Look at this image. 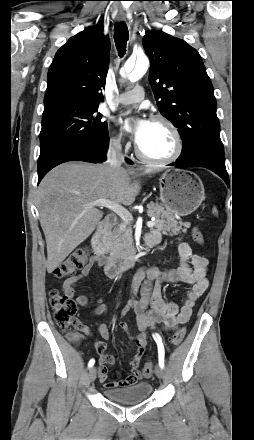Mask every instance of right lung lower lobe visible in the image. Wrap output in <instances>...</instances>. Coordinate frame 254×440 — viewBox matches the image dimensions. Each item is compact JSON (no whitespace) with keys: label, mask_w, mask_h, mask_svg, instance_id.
<instances>
[{"label":"right lung lower lobe","mask_w":254,"mask_h":440,"mask_svg":"<svg viewBox=\"0 0 254 440\" xmlns=\"http://www.w3.org/2000/svg\"><path fill=\"white\" fill-rule=\"evenodd\" d=\"M109 137L99 143L86 144L82 147L66 152L46 163V165L38 171V184L41 179L55 166L67 161H85L91 163L102 162L106 160V152L108 149ZM128 163L131 161L127 160Z\"/></svg>","instance_id":"obj_1"}]
</instances>
